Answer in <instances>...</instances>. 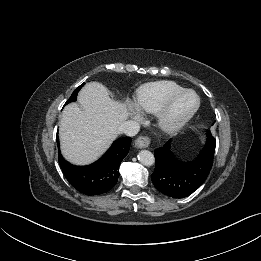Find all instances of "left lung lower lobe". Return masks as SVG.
I'll return each mask as SVG.
<instances>
[{"instance_id": "0a47b994", "label": "left lung lower lobe", "mask_w": 261, "mask_h": 261, "mask_svg": "<svg viewBox=\"0 0 261 261\" xmlns=\"http://www.w3.org/2000/svg\"><path fill=\"white\" fill-rule=\"evenodd\" d=\"M216 139L210 131L200 154L192 161H182L172 153V140L154 151L155 170L151 175L156 189L172 198L192 194L206 180L213 165Z\"/></svg>"}]
</instances>
